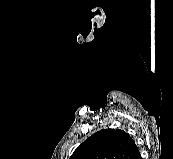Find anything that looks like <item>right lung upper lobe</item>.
Segmentation results:
<instances>
[{
    "instance_id": "obj_1",
    "label": "right lung upper lobe",
    "mask_w": 173,
    "mask_h": 159,
    "mask_svg": "<svg viewBox=\"0 0 173 159\" xmlns=\"http://www.w3.org/2000/svg\"><path fill=\"white\" fill-rule=\"evenodd\" d=\"M70 159H142L133 139L119 129H103L86 139Z\"/></svg>"
}]
</instances>
